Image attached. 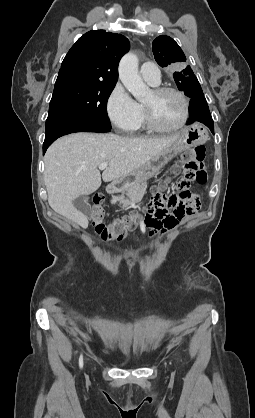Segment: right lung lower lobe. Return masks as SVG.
Listing matches in <instances>:
<instances>
[{
    "label": "right lung lower lobe",
    "mask_w": 255,
    "mask_h": 418,
    "mask_svg": "<svg viewBox=\"0 0 255 418\" xmlns=\"http://www.w3.org/2000/svg\"><path fill=\"white\" fill-rule=\"evenodd\" d=\"M111 127L95 120L68 114H55L46 120V135L43 143V154L59 137L75 132H109Z\"/></svg>",
    "instance_id": "obj_1"
}]
</instances>
